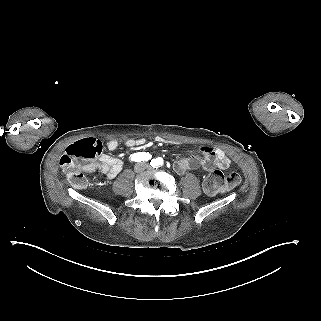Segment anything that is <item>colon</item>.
Segmentation results:
<instances>
[{
  "label": "colon",
  "instance_id": "obj_1",
  "mask_svg": "<svg viewBox=\"0 0 321 321\" xmlns=\"http://www.w3.org/2000/svg\"><path fill=\"white\" fill-rule=\"evenodd\" d=\"M102 152V146L95 140L78 141L70 145L66 152L60 158V166L68 182L77 189H82L87 184L84 173L76 166L78 159H92L99 156ZM241 175L238 172H232L224 175L220 170L211 172L204 180V190L209 194H220L234 189L239 185Z\"/></svg>",
  "mask_w": 321,
  "mask_h": 321
}]
</instances>
